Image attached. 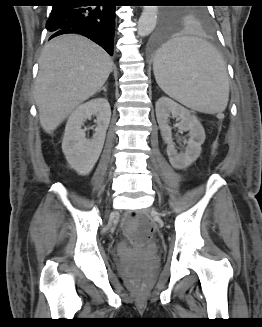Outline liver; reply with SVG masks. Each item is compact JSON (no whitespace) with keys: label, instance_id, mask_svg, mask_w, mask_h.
<instances>
[{"label":"liver","instance_id":"1","mask_svg":"<svg viewBox=\"0 0 262 327\" xmlns=\"http://www.w3.org/2000/svg\"><path fill=\"white\" fill-rule=\"evenodd\" d=\"M111 57L89 39L66 34L49 41L39 59L34 98L40 125L52 133L112 72Z\"/></svg>","mask_w":262,"mask_h":327}]
</instances>
